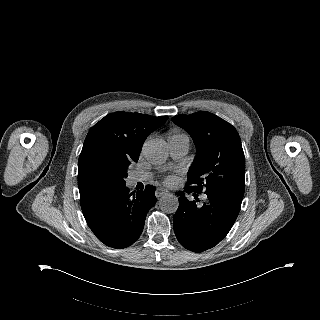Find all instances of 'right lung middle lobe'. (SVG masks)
I'll return each mask as SVG.
<instances>
[{"instance_id":"obj_1","label":"right lung middle lobe","mask_w":320,"mask_h":320,"mask_svg":"<svg viewBox=\"0 0 320 320\" xmlns=\"http://www.w3.org/2000/svg\"><path fill=\"white\" fill-rule=\"evenodd\" d=\"M130 163L129 161L122 160L101 166L98 172L99 180L105 184H125L127 169Z\"/></svg>"}]
</instances>
